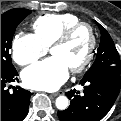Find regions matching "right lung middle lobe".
<instances>
[{
    "mask_svg": "<svg viewBox=\"0 0 121 121\" xmlns=\"http://www.w3.org/2000/svg\"><path fill=\"white\" fill-rule=\"evenodd\" d=\"M31 13L30 10L11 9L1 15V70H14L9 50L18 24Z\"/></svg>",
    "mask_w": 121,
    "mask_h": 121,
    "instance_id": "1",
    "label": "right lung middle lobe"
}]
</instances>
